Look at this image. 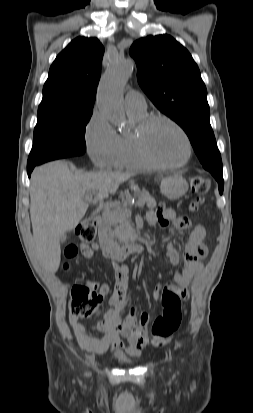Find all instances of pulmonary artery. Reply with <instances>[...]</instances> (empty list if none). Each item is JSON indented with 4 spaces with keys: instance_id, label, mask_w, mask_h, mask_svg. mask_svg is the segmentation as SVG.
<instances>
[{
    "instance_id": "1",
    "label": "pulmonary artery",
    "mask_w": 253,
    "mask_h": 413,
    "mask_svg": "<svg viewBox=\"0 0 253 413\" xmlns=\"http://www.w3.org/2000/svg\"><path fill=\"white\" fill-rule=\"evenodd\" d=\"M125 108L136 113L146 112L147 104L144 96L137 91H128L125 95Z\"/></svg>"
}]
</instances>
